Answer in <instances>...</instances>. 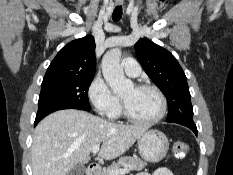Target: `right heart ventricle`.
I'll use <instances>...</instances> for the list:
<instances>
[{
  "instance_id": "e07e8e85",
  "label": "right heart ventricle",
  "mask_w": 233,
  "mask_h": 175,
  "mask_svg": "<svg viewBox=\"0 0 233 175\" xmlns=\"http://www.w3.org/2000/svg\"><path fill=\"white\" fill-rule=\"evenodd\" d=\"M120 113H121V106L119 103L118 107L116 108L115 112L111 115V117H117L120 115Z\"/></svg>"
}]
</instances>
